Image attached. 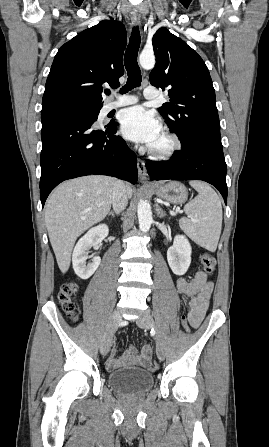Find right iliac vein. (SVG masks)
Wrapping results in <instances>:
<instances>
[{
    "label": "right iliac vein",
    "instance_id": "right-iliac-vein-1",
    "mask_svg": "<svg viewBox=\"0 0 269 447\" xmlns=\"http://www.w3.org/2000/svg\"><path fill=\"white\" fill-rule=\"evenodd\" d=\"M121 320L122 318L119 312H113L111 314L108 325L106 327V332L100 342V352L102 355H106L109 352L113 334Z\"/></svg>",
    "mask_w": 269,
    "mask_h": 447
}]
</instances>
